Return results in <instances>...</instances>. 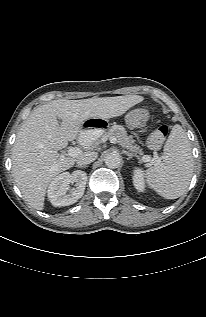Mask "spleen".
<instances>
[{"label":"spleen","instance_id":"obj_1","mask_svg":"<svg viewBox=\"0 0 206 317\" xmlns=\"http://www.w3.org/2000/svg\"><path fill=\"white\" fill-rule=\"evenodd\" d=\"M193 166L186 132L176 124L164 146L163 160H157L146 170L147 184L165 199H177L188 189Z\"/></svg>","mask_w":206,"mask_h":317}]
</instances>
